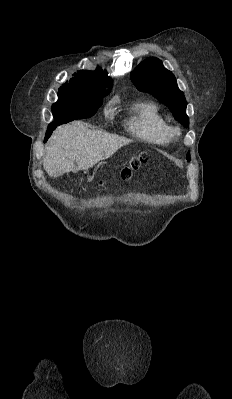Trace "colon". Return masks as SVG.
Wrapping results in <instances>:
<instances>
[{"mask_svg":"<svg viewBox=\"0 0 232 399\" xmlns=\"http://www.w3.org/2000/svg\"><path fill=\"white\" fill-rule=\"evenodd\" d=\"M149 162V157L145 153H138L137 155H131L126 163H119V166L115 172L110 173L106 180H99V185H106V182L110 186H116L119 182L124 179H129L130 168H137L138 166H145Z\"/></svg>","mask_w":232,"mask_h":399,"instance_id":"1","label":"colon"}]
</instances>
